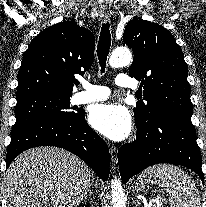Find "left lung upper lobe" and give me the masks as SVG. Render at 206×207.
<instances>
[{
	"mask_svg": "<svg viewBox=\"0 0 206 207\" xmlns=\"http://www.w3.org/2000/svg\"><path fill=\"white\" fill-rule=\"evenodd\" d=\"M123 40L134 53L129 75L141 81L145 100L134 108L136 124L147 125L157 110L192 113L188 68L172 34L159 24L134 19Z\"/></svg>",
	"mask_w": 206,
	"mask_h": 207,
	"instance_id": "5c2ea615",
	"label": "left lung upper lobe"
}]
</instances>
